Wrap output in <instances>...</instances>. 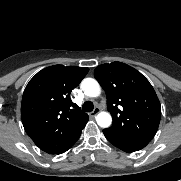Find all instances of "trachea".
Returning <instances> with one entry per match:
<instances>
[{
  "label": "trachea",
  "mask_w": 181,
  "mask_h": 181,
  "mask_svg": "<svg viewBox=\"0 0 181 181\" xmlns=\"http://www.w3.org/2000/svg\"><path fill=\"white\" fill-rule=\"evenodd\" d=\"M83 111L84 112H91V111H93V103L90 102V101H86L83 104Z\"/></svg>",
  "instance_id": "obj_1"
}]
</instances>
